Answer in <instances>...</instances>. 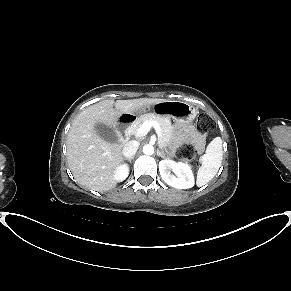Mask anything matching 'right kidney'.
Returning a JSON list of instances; mask_svg holds the SVG:
<instances>
[{"instance_id": "obj_1", "label": "right kidney", "mask_w": 291, "mask_h": 291, "mask_svg": "<svg viewBox=\"0 0 291 291\" xmlns=\"http://www.w3.org/2000/svg\"><path fill=\"white\" fill-rule=\"evenodd\" d=\"M129 175V167L126 164H122L114 171V178L117 182L125 180Z\"/></svg>"}]
</instances>
